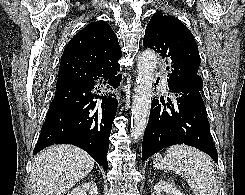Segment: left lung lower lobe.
Wrapping results in <instances>:
<instances>
[{"label": "left lung lower lobe", "mask_w": 245, "mask_h": 195, "mask_svg": "<svg viewBox=\"0 0 245 195\" xmlns=\"http://www.w3.org/2000/svg\"><path fill=\"white\" fill-rule=\"evenodd\" d=\"M176 102L153 99L142 144V162L165 147L186 144L207 153L217 162L206 108L200 90L168 82Z\"/></svg>", "instance_id": "left-lung-lower-lobe-1"}]
</instances>
